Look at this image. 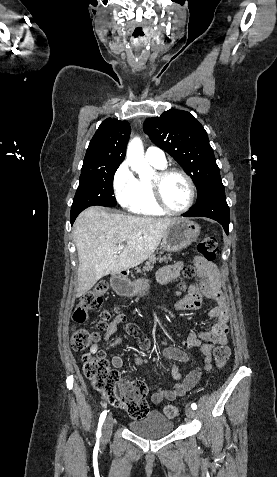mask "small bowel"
I'll list each match as a JSON object with an SVG mask.
<instances>
[{
  "label": "small bowel",
  "instance_id": "small-bowel-1",
  "mask_svg": "<svg viewBox=\"0 0 277 477\" xmlns=\"http://www.w3.org/2000/svg\"><path fill=\"white\" fill-rule=\"evenodd\" d=\"M194 265L200 279V284L193 286L189 290L188 295L176 304V308L178 310L196 309L201 305L203 297L215 302V306L208 313L209 318L214 320L209 330L193 332L183 341L184 345L187 347H199L204 355V359L202 366L198 365L186 375H183L176 366H173L171 369V375L179 382L176 383L172 389H161L155 387V391L151 395V401L155 404L160 403L164 399L174 400L190 391L200 380L202 371L211 370L213 360L212 352L214 347L216 345H225L227 343L228 307L225 296L221 290L220 273L211 261L201 256L195 257ZM185 267L186 265L183 262L164 266L158 271L157 278L159 282L166 284L177 278ZM126 321V315H117L114 320L108 324L103 336L106 346L103 349H99L98 344L94 343L90 348V352L95 355L106 356L111 349L119 346L122 343V337H115L112 339V336L117 331L119 324L126 323ZM125 328L129 336L137 339L138 346L141 350L146 351L150 349V340L136 325L127 323ZM202 341H204V343H202ZM162 354L165 358L173 361L194 363L191 357L178 347H167L163 350ZM144 362V358L137 357L134 360V366L138 367ZM123 364L124 358L122 355L118 354L112 357V365L115 369L122 368Z\"/></svg>",
  "mask_w": 277,
  "mask_h": 477
}]
</instances>
